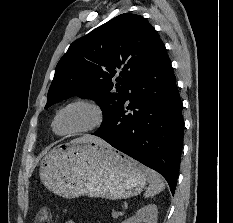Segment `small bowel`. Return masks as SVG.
<instances>
[{
	"mask_svg": "<svg viewBox=\"0 0 233 223\" xmlns=\"http://www.w3.org/2000/svg\"><path fill=\"white\" fill-rule=\"evenodd\" d=\"M65 223H74L73 220H66Z\"/></svg>",
	"mask_w": 233,
	"mask_h": 223,
	"instance_id": "small-bowel-1",
	"label": "small bowel"
}]
</instances>
